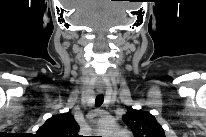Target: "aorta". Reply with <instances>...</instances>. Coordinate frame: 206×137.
I'll use <instances>...</instances> for the list:
<instances>
[{"label":"aorta","mask_w":206,"mask_h":137,"mask_svg":"<svg viewBox=\"0 0 206 137\" xmlns=\"http://www.w3.org/2000/svg\"><path fill=\"white\" fill-rule=\"evenodd\" d=\"M115 131H116V128H112L111 132L113 133V132H115Z\"/></svg>","instance_id":"762f6f07"}]
</instances>
